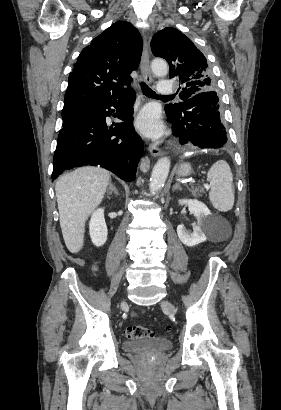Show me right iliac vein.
<instances>
[{
    "mask_svg": "<svg viewBox=\"0 0 281 410\" xmlns=\"http://www.w3.org/2000/svg\"><path fill=\"white\" fill-rule=\"evenodd\" d=\"M126 305L125 301L121 303V306L124 307Z\"/></svg>",
    "mask_w": 281,
    "mask_h": 410,
    "instance_id": "1",
    "label": "right iliac vein"
}]
</instances>
